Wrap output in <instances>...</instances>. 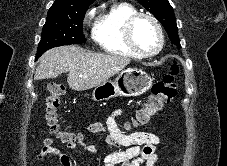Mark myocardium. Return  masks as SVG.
Instances as JSON below:
<instances>
[{
    "instance_id": "f54148a6",
    "label": "myocardium",
    "mask_w": 227,
    "mask_h": 166,
    "mask_svg": "<svg viewBox=\"0 0 227 166\" xmlns=\"http://www.w3.org/2000/svg\"><path fill=\"white\" fill-rule=\"evenodd\" d=\"M142 18H146V19L150 20L153 23V25L158 33V37H159L158 46L152 52L142 51L138 47V45L136 44L135 39H134V27H135L136 23ZM124 38H125V41H126V44L128 45V47L136 55H138L139 57H144V58L153 57V56H156L157 54H159L161 52V50L163 49L164 42H165L163 29H162L159 21L157 20L156 17H154L153 15H151L149 13H136V14H133L132 16H130L124 25Z\"/></svg>"
}]
</instances>
